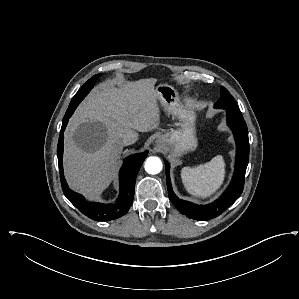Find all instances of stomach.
Masks as SVG:
<instances>
[{"instance_id": "obj_1", "label": "stomach", "mask_w": 299, "mask_h": 299, "mask_svg": "<svg viewBox=\"0 0 299 299\" xmlns=\"http://www.w3.org/2000/svg\"><path fill=\"white\" fill-rule=\"evenodd\" d=\"M155 91L165 110L177 116L181 121V128L171 130L158 137V145L166 150L172 158L195 150L197 147L195 111L189 106L179 104L178 93L171 85L160 84L155 88Z\"/></svg>"}]
</instances>
